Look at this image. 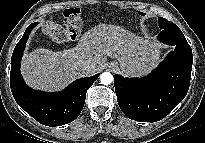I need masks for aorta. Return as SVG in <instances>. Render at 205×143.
Wrapping results in <instances>:
<instances>
[{
	"label": "aorta",
	"instance_id": "762f6f07",
	"mask_svg": "<svg viewBox=\"0 0 205 143\" xmlns=\"http://www.w3.org/2000/svg\"><path fill=\"white\" fill-rule=\"evenodd\" d=\"M113 75L110 72H103L100 75L101 83L104 85H109L113 82Z\"/></svg>",
	"mask_w": 205,
	"mask_h": 143
}]
</instances>
